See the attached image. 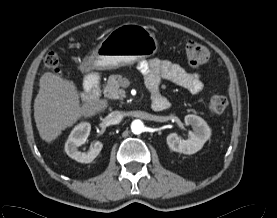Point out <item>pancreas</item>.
Returning a JSON list of instances; mask_svg holds the SVG:
<instances>
[{
	"mask_svg": "<svg viewBox=\"0 0 277 218\" xmlns=\"http://www.w3.org/2000/svg\"><path fill=\"white\" fill-rule=\"evenodd\" d=\"M122 75H110L107 84L103 88V93L111 99H123L126 97L125 91L121 88Z\"/></svg>",
	"mask_w": 277,
	"mask_h": 218,
	"instance_id": "cf45deb5",
	"label": "pancreas"
}]
</instances>
